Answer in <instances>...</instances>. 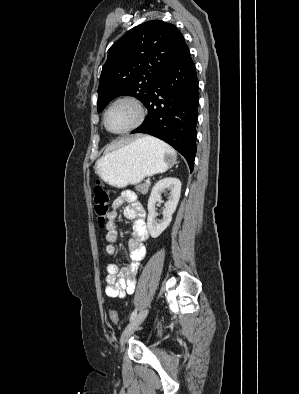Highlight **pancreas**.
Listing matches in <instances>:
<instances>
[{"label": "pancreas", "mask_w": 299, "mask_h": 394, "mask_svg": "<svg viewBox=\"0 0 299 394\" xmlns=\"http://www.w3.org/2000/svg\"><path fill=\"white\" fill-rule=\"evenodd\" d=\"M149 187H150V184L143 183V184L137 185L135 187V189H136L137 192L145 195V194L148 193Z\"/></svg>", "instance_id": "pancreas-1"}]
</instances>
